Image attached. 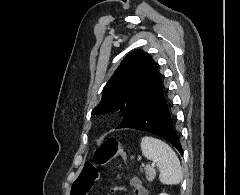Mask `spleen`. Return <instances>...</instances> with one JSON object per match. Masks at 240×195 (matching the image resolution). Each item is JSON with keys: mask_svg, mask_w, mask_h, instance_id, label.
I'll use <instances>...</instances> for the list:
<instances>
[{"mask_svg": "<svg viewBox=\"0 0 240 195\" xmlns=\"http://www.w3.org/2000/svg\"><path fill=\"white\" fill-rule=\"evenodd\" d=\"M142 155L152 159L160 169L159 179L166 185L180 183L183 177L182 167L174 149L157 137H142L141 139Z\"/></svg>", "mask_w": 240, "mask_h": 195, "instance_id": "spleen-1", "label": "spleen"}]
</instances>
